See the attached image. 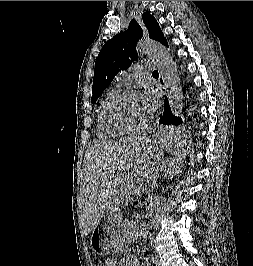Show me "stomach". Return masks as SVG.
<instances>
[{
	"label": "stomach",
	"mask_w": 253,
	"mask_h": 266,
	"mask_svg": "<svg viewBox=\"0 0 253 266\" xmlns=\"http://www.w3.org/2000/svg\"><path fill=\"white\" fill-rule=\"evenodd\" d=\"M169 138H184L179 131L171 128H163L159 131L156 140L145 139L135 149L132 156L128 157L120 171H127L134 165H139L151 159L160 145L168 146ZM121 179H113L109 193V199L105 211L102 214L101 222L96 226L90 238L91 248L94 253L100 256L111 254L117 247L120 240V226L122 222L121 209L119 204V187Z\"/></svg>",
	"instance_id": "0dacf381"
}]
</instances>
